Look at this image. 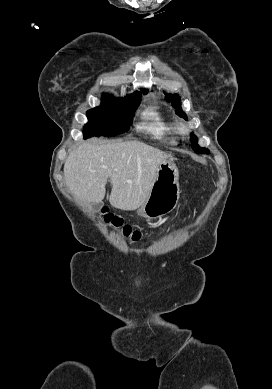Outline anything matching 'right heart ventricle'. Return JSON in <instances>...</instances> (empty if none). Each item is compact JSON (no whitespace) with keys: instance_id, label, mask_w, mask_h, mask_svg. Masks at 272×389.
Here are the masks:
<instances>
[{"instance_id":"e07e8e85","label":"right heart ventricle","mask_w":272,"mask_h":389,"mask_svg":"<svg viewBox=\"0 0 272 389\" xmlns=\"http://www.w3.org/2000/svg\"><path fill=\"white\" fill-rule=\"evenodd\" d=\"M142 118L141 128L157 138H170L175 134L174 124L157 108L145 109Z\"/></svg>"}]
</instances>
